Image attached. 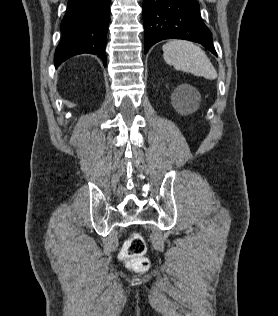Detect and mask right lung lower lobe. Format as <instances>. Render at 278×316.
Returning a JSON list of instances; mask_svg holds the SVG:
<instances>
[{"instance_id":"1","label":"right lung lower lobe","mask_w":278,"mask_h":316,"mask_svg":"<svg viewBox=\"0 0 278 316\" xmlns=\"http://www.w3.org/2000/svg\"><path fill=\"white\" fill-rule=\"evenodd\" d=\"M109 8L110 0H68L60 25L62 37L55 52L56 68L68 58L82 53L97 55L106 66Z\"/></svg>"}]
</instances>
